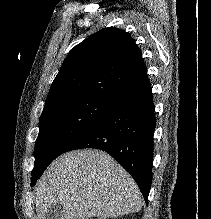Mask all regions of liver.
Listing matches in <instances>:
<instances>
[{
	"label": "liver",
	"mask_w": 211,
	"mask_h": 219,
	"mask_svg": "<svg viewBox=\"0 0 211 219\" xmlns=\"http://www.w3.org/2000/svg\"><path fill=\"white\" fill-rule=\"evenodd\" d=\"M62 205L61 219L115 218L138 212L141 193L135 181L109 154L77 150L60 155L36 187L37 219Z\"/></svg>",
	"instance_id": "1"
}]
</instances>
